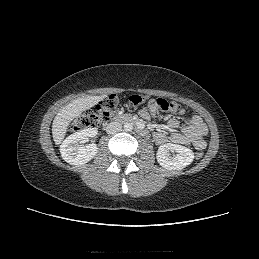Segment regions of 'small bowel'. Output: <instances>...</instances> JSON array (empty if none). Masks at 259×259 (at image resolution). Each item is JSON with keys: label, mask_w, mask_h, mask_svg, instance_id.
<instances>
[{"label": "small bowel", "mask_w": 259, "mask_h": 259, "mask_svg": "<svg viewBox=\"0 0 259 259\" xmlns=\"http://www.w3.org/2000/svg\"><path fill=\"white\" fill-rule=\"evenodd\" d=\"M180 115H184L185 111L180 109L178 111ZM156 114V110L147 107L140 110V115L144 119H152ZM180 126V121L177 118H170L167 123L170 134H166L161 130L154 132V140L157 144H164L166 142H172L182 145H192L198 150H202L206 147L205 136L208 129L202 118L198 115H193L186 119V124L182 131H177Z\"/></svg>", "instance_id": "obj_1"}]
</instances>
